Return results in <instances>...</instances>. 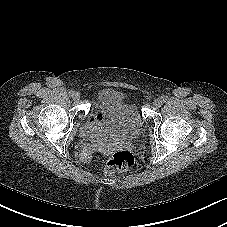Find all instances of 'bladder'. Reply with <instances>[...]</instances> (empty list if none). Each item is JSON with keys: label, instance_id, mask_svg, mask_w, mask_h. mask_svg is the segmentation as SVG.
I'll return each instance as SVG.
<instances>
[{"label": "bladder", "instance_id": "bladder-1", "mask_svg": "<svg viewBox=\"0 0 227 227\" xmlns=\"http://www.w3.org/2000/svg\"><path fill=\"white\" fill-rule=\"evenodd\" d=\"M91 117L99 127L98 137L108 144L131 142L142 131L135 105L115 90H105L99 95Z\"/></svg>", "mask_w": 227, "mask_h": 227}]
</instances>
